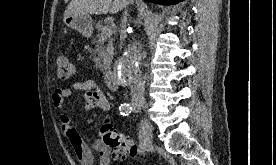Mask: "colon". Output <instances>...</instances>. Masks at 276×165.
Returning a JSON list of instances; mask_svg holds the SVG:
<instances>
[{
	"instance_id": "obj_1",
	"label": "colon",
	"mask_w": 276,
	"mask_h": 165,
	"mask_svg": "<svg viewBox=\"0 0 276 165\" xmlns=\"http://www.w3.org/2000/svg\"><path fill=\"white\" fill-rule=\"evenodd\" d=\"M76 69L71 59L66 55H60L56 61V75L60 80H69L75 76ZM101 140L111 147L124 152L131 158H139L137 145L128 136L116 130L110 122L106 121L100 128Z\"/></svg>"
}]
</instances>
